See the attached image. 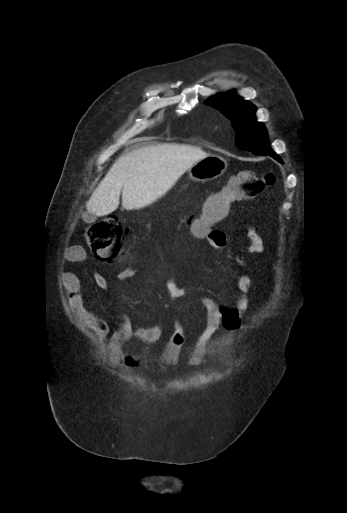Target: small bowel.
Masks as SVG:
<instances>
[{"label":"small bowel","instance_id":"obj_1","mask_svg":"<svg viewBox=\"0 0 347 513\" xmlns=\"http://www.w3.org/2000/svg\"><path fill=\"white\" fill-rule=\"evenodd\" d=\"M195 237L206 240L213 249H222L228 244L226 232L218 227H213L205 234ZM246 248L249 252L256 254L263 253L265 250L263 240L253 226H249L246 233ZM84 257L85 251L80 246L71 247L67 253L69 262H78ZM138 266L139 263L125 266L118 274L119 280L126 281L132 278ZM60 276L68 306L74 318L85 328L94 332L101 342L109 341L111 343L112 356L118 365L137 368L144 361L140 355L124 354L121 351L123 343L135 339L144 345L152 346L165 336L168 328H171L172 332L159 356L160 364L165 367L176 366L186 353L185 330L179 321L170 320L167 323L154 326H136L128 319L122 318L119 328L111 334L109 323L86 308L78 277L68 271H64ZM93 280L100 288L108 286L103 275H94ZM251 285L250 278L245 273L238 272L234 276V305H220L209 296L201 299L206 310V325L187 352L188 366H199L204 357L214 351L215 347L211 346L210 341L219 331L238 329L241 326L242 315L249 309L248 295ZM165 287L171 297H182L187 294V289L179 284L173 276L166 277Z\"/></svg>","mask_w":347,"mask_h":513}]
</instances>
